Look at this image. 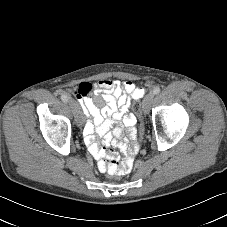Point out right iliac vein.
Segmentation results:
<instances>
[{
  "label": "right iliac vein",
  "instance_id": "1",
  "mask_svg": "<svg viewBox=\"0 0 227 227\" xmlns=\"http://www.w3.org/2000/svg\"><path fill=\"white\" fill-rule=\"evenodd\" d=\"M69 105L72 109L76 124L78 126H81L83 124L84 117H83V114H82V111H81L79 104L75 100L71 99L69 101Z\"/></svg>",
  "mask_w": 227,
  "mask_h": 227
}]
</instances>
